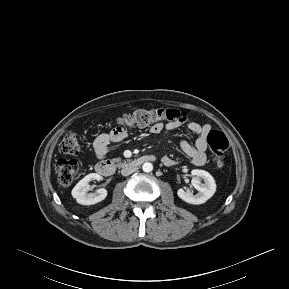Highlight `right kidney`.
I'll return each mask as SVG.
<instances>
[{
	"label": "right kidney",
	"instance_id": "right-kidney-1",
	"mask_svg": "<svg viewBox=\"0 0 289 289\" xmlns=\"http://www.w3.org/2000/svg\"><path fill=\"white\" fill-rule=\"evenodd\" d=\"M102 177L97 173H90L80 180L72 190V196L76 199L77 203L81 205H94L101 202L107 196V190L102 188L97 190L96 193H88L89 182L92 180H101Z\"/></svg>",
	"mask_w": 289,
	"mask_h": 289
}]
</instances>
